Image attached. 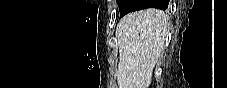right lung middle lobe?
Masks as SVG:
<instances>
[{
  "label": "right lung middle lobe",
  "instance_id": "1",
  "mask_svg": "<svg viewBox=\"0 0 227 88\" xmlns=\"http://www.w3.org/2000/svg\"><path fill=\"white\" fill-rule=\"evenodd\" d=\"M130 1L131 0H117L120 13L126 8V6L130 3Z\"/></svg>",
  "mask_w": 227,
  "mask_h": 88
}]
</instances>
